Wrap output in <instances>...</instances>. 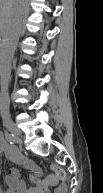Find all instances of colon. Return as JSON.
Instances as JSON below:
<instances>
[{
  "instance_id": "obj_1",
  "label": "colon",
  "mask_w": 103,
  "mask_h": 193,
  "mask_svg": "<svg viewBox=\"0 0 103 193\" xmlns=\"http://www.w3.org/2000/svg\"><path fill=\"white\" fill-rule=\"evenodd\" d=\"M53 170L58 178H60L61 180L65 179L66 175H65L64 170H62L61 168H58V167H53Z\"/></svg>"
}]
</instances>
